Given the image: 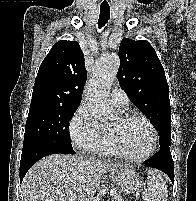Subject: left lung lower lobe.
Wrapping results in <instances>:
<instances>
[{"instance_id":"1","label":"left lung lower lobe","mask_w":196,"mask_h":201,"mask_svg":"<svg viewBox=\"0 0 196 201\" xmlns=\"http://www.w3.org/2000/svg\"><path fill=\"white\" fill-rule=\"evenodd\" d=\"M145 166L163 171L174 183V163L170 153V146L160 148L157 154L146 161Z\"/></svg>"}]
</instances>
